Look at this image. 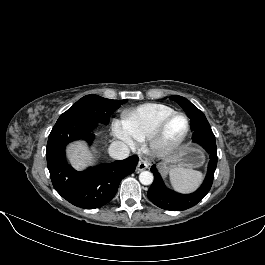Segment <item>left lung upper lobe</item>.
Wrapping results in <instances>:
<instances>
[{"label":"left lung upper lobe","instance_id":"5c2ea615","mask_svg":"<svg viewBox=\"0 0 265 265\" xmlns=\"http://www.w3.org/2000/svg\"><path fill=\"white\" fill-rule=\"evenodd\" d=\"M170 99L177 102L186 112L187 116L190 118L191 130L201 125H209L203 112L195 107L189 100L178 95H172Z\"/></svg>","mask_w":265,"mask_h":265}]
</instances>
